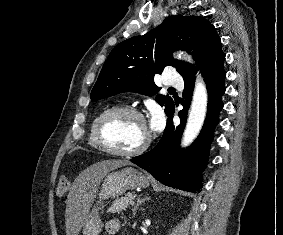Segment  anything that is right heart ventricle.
Segmentation results:
<instances>
[{
    "label": "right heart ventricle",
    "mask_w": 283,
    "mask_h": 235,
    "mask_svg": "<svg viewBox=\"0 0 283 235\" xmlns=\"http://www.w3.org/2000/svg\"><path fill=\"white\" fill-rule=\"evenodd\" d=\"M115 108L114 105H109V106H105L104 108H102L100 111H98L95 116L93 117L90 126H89V130H88V145L93 148V149H98L99 147L97 146V144L95 143L94 140V135H93V130H94V126L97 122V120L108 110Z\"/></svg>",
    "instance_id": "obj_1"
}]
</instances>
